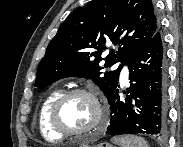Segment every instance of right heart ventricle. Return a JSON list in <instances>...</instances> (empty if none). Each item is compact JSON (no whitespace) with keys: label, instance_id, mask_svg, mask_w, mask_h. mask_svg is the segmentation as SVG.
I'll return each mask as SVG.
<instances>
[{"label":"right heart ventricle","instance_id":"1","mask_svg":"<svg viewBox=\"0 0 183 147\" xmlns=\"http://www.w3.org/2000/svg\"><path fill=\"white\" fill-rule=\"evenodd\" d=\"M61 93H62L61 89L51 90L42 101L39 109V115H38L39 129H40L41 135L47 140L63 139V135L56 132L51 127L49 122V113H50L51 106Z\"/></svg>","mask_w":183,"mask_h":147}]
</instances>
